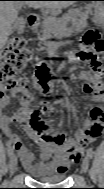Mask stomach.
Returning <instances> with one entry per match:
<instances>
[{
    "label": "stomach",
    "instance_id": "1",
    "mask_svg": "<svg viewBox=\"0 0 104 189\" xmlns=\"http://www.w3.org/2000/svg\"><path fill=\"white\" fill-rule=\"evenodd\" d=\"M100 7H102L100 4H98ZM97 5V6H98ZM99 15H101L100 13H99V11H95V16H99Z\"/></svg>",
    "mask_w": 104,
    "mask_h": 189
}]
</instances>
